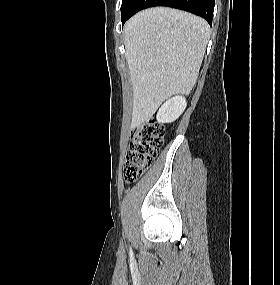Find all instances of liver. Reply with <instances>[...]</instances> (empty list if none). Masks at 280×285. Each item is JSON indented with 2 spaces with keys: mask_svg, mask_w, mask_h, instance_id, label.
I'll use <instances>...</instances> for the list:
<instances>
[{
  "mask_svg": "<svg viewBox=\"0 0 280 285\" xmlns=\"http://www.w3.org/2000/svg\"><path fill=\"white\" fill-rule=\"evenodd\" d=\"M209 32L204 19L167 7L143 10L127 21L124 44L133 89L132 128L150 119L164 100L192 90Z\"/></svg>",
  "mask_w": 280,
  "mask_h": 285,
  "instance_id": "obj_1",
  "label": "liver"
}]
</instances>
